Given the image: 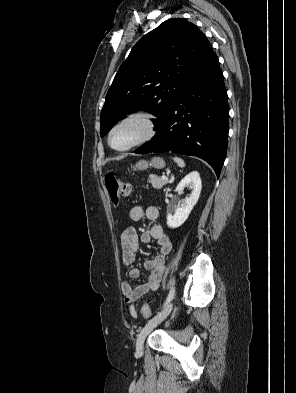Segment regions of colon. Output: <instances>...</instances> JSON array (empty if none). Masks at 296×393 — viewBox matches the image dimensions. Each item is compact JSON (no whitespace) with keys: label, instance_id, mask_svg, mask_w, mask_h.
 <instances>
[{"label":"colon","instance_id":"colon-1","mask_svg":"<svg viewBox=\"0 0 296 393\" xmlns=\"http://www.w3.org/2000/svg\"><path fill=\"white\" fill-rule=\"evenodd\" d=\"M104 184L109 193L111 202L114 205L119 203L120 197H127L131 193V186L128 183L119 181L111 173L104 176ZM141 313L145 319H149L152 314L150 306L148 304H143L141 307Z\"/></svg>","mask_w":296,"mask_h":393}]
</instances>
